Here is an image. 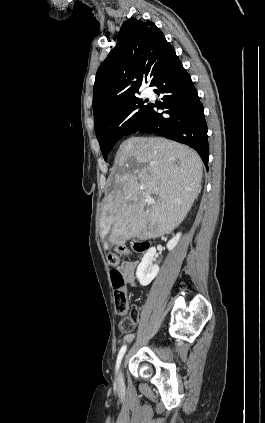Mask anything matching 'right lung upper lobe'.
<instances>
[{"mask_svg": "<svg viewBox=\"0 0 265 423\" xmlns=\"http://www.w3.org/2000/svg\"><path fill=\"white\" fill-rule=\"evenodd\" d=\"M176 57L174 48L151 21L130 18L116 46L98 68L93 89L94 123L122 101L135 96L143 78L150 86Z\"/></svg>", "mask_w": 265, "mask_h": 423, "instance_id": "obj_1", "label": "right lung upper lobe"}]
</instances>
